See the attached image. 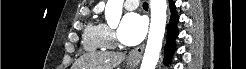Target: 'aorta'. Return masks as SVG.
<instances>
[{
  "instance_id": "1",
  "label": "aorta",
  "mask_w": 246,
  "mask_h": 69,
  "mask_svg": "<svg viewBox=\"0 0 246 69\" xmlns=\"http://www.w3.org/2000/svg\"><path fill=\"white\" fill-rule=\"evenodd\" d=\"M151 23L148 41L140 69H155L162 48L166 26V0H151ZM123 0H108L105 17L110 26L119 23L122 14Z\"/></svg>"
}]
</instances>
